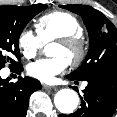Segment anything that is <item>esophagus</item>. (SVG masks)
I'll list each match as a JSON object with an SVG mask.
<instances>
[{"label":"esophagus","mask_w":117,"mask_h":117,"mask_svg":"<svg viewBox=\"0 0 117 117\" xmlns=\"http://www.w3.org/2000/svg\"><path fill=\"white\" fill-rule=\"evenodd\" d=\"M42 87H43L44 89H47V90L56 89V87H54V86H49V85H46V84H42Z\"/></svg>","instance_id":"34e87169"}]
</instances>
